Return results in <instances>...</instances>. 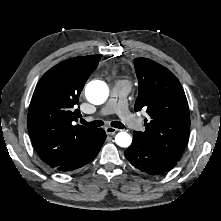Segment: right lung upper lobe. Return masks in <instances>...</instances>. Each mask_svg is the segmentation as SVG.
<instances>
[{"instance_id": "1", "label": "right lung upper lobe", "mask_w": 221, "mask_h": 221, "mask_svg": "<svg viewBox=\"0 0 221 221\" xmlns=\"http://www.w3.org/2000/svg\"><path fill=\"white\" fill-rule=\"evenodd\" d=\"M102 55L65 60L39 80L28 111L27 127L33 146L51 168L86 151L97 129L75 125L80 93Z\"/></svg>"}]
</instances>
